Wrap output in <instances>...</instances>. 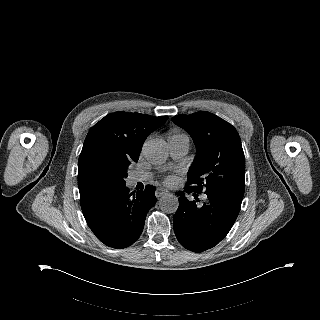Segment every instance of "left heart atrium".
I'll return each instance as SVG.
<instances>
[{"label":"left heart atrium","mask_w":320,"mask_h":320,"mask_svg":"<svg viewBox=\"0 0 320 320\" xmlns=\"http://www.w3.org/2000/svg\"><path fill=\"white\" fill-rule=\"evenodd\" d=\"M165 182L168 185H172V184H174L176 182V179L174 177H172V176H169V177L166 178Z\"/></svg>","instance_id":"39dd6f15"}]
</instances>
